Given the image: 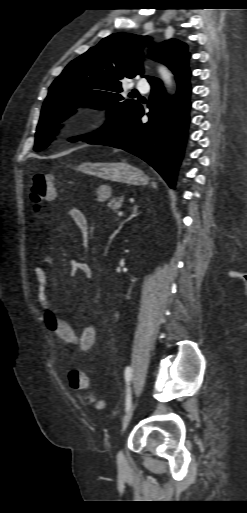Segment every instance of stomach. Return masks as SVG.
<instances>
[{
  "label": "stomach",
  "mask_w": 247,
  "mask_h": 513,
  "mask_svg": "<svg viewBox=\"0 0 247 513\" xmlns=\"http://www.w3.org/2000/svg\"><path fill=\"white\" fill-rule=\"evenodd\" d=\"M78 168L86 174L114 182L131 185L146 184L147 182V178L141 170L124 161L96 163L86 162L81 164Z\"/></svg>",
  "instance_id": "stomach-1"
}]
</instances>
